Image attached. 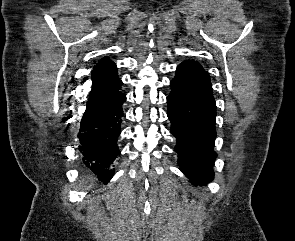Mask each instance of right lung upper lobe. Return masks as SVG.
<instances>
[{"label":"right lung upper lobe","mask_w":295,"mask_h":241,"mask_svg":"<svg viewBox=\"0 0 295 241\" xmlns=\"http://www.w3.org/2000/svg\"><path fill=\"white\" fill-rule=\"evenodd\" d=\"M92 89L105 87L119 81L116 64L107 58L101 60L92 70Z\"/></svg>","instance_id":"1"}]
</instances>
